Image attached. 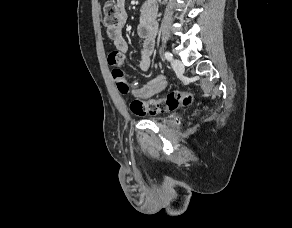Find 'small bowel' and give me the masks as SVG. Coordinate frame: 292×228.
<instances>
[{"mask_svg":"<svg viewBox=\"0 0 292 228\" xmlns=\"http://www.w3.org/2000/svg\"><path fill=\"white\" fill-rule=\"evenodd\" d=\"M125 1L126 0H116L120 9V22L118 25L107 28L106 30L107 36L112 41L115 51L122 56V59H124V55L128 51V43L122 33V28L127 19ZM156 15V4L152 1L144 2L140 9V18L137 26V34L142 40L138 68L142 72L148 71L151 65V56L154 50L155 36L158 28ZM165 87V77L163 75H155L138 90L137 94L141 99L146 100L161 93Z\"/></svg>","mask_w":292,"mask_h":228,"instance_id":"obj_1","label":"small bowel"}]
</instances>
